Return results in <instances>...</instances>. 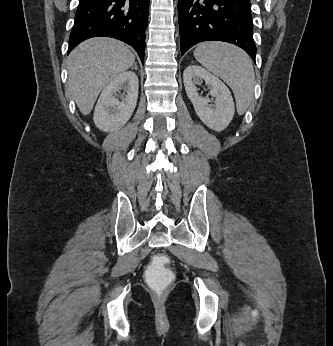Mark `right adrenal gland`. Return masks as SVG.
I'll list each match as a JSON object with an SVG mask.
<instances>
[{"instance_id": "2a0ac1e0", "label": "right adrenal gland", "mask_w": 333, "mask_h": 346, "mask_svg": "<svg viewBox=\"0 0 333 346\" xmlns=\"http://www.w3.org/2000/svg\"><path fill=\"white\" fill-rule=\"evenodd\" d=\"M132 69L138 70L137 64H134V66L132 67Z\"/></svg>"}]
</instances>
